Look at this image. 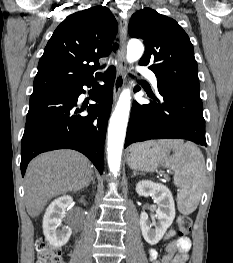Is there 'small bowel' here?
Here are the masks:
<instances>
[{"instance_id": "small-bowel-1", "label": "small bowel", "mask_w": 233, "mask_h": 263, "mask_svg": "<svg viewBox=\"0 0 233 263\" xmlns=\"http://www.w3.org/2000/svg\"><path fill=\"white\" fill-rule=\"evenodd\" d=\"M175 236V231L170 230L164 236V240H170ZM192 242L189 237H178L172 239L166 246V255L158 258V252L155 248L148 250V260L150 263H186L189 259V252Z\"/></svg>"}]
</instances>
